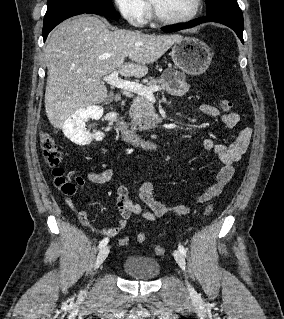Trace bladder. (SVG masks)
Segmentation results:
<instances>
[{"label":"bladder","instance_id":"obj_1","mask_svg":"<svg viewBox=\"0 0 284 319\" xmlns=\"http://www.w3.org/2000/svg\"><path fill=\"white\" fill-rule=\"evenodd\" d=\"M122 269L127 276L142 281L154 280L161 272L158 260L135 254L128 255L123 260Z\"/></svg>","mask_w":284,"mask_h":319}]
</instances>
